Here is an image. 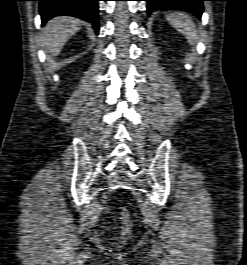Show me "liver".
Returning <instances> with one entry per match:
<instances>
[{"label": "liver", "instance_id": "1", "mask_svg": "<svg viewBox=\"0 0 247 265\" xmlns=\"http://www.w3.org/2000/svg\"><path fill=\"white\" fill-rule=\"evenodd\" d=\"M82 21L74 17L59 16L47 22L43 30V47L50 57L59 54L65 43L77 33Z\"/></svg>", "mask_w": 247, "mask_h": 265}]
</instances>
